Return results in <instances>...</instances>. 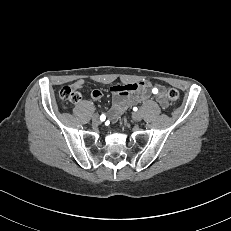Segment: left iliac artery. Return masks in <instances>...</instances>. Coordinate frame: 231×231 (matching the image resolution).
Masks as SVG:
<instances>
[{"label":"left iliac artery","instance_id":"left-iliac-artery-1","mask_svg":"<svg viewBox=\"0 0 231 231\" xmlns=\"http://www.w3.org/2000/svg\"><path fill=\"white\" fill-rule=\"evenodd\" d=\"M152 93L153 94H157L158 93V89L157 88H153Z\"/></svg>","mask_w":231,"mask_h":231}]
</instances>
